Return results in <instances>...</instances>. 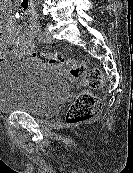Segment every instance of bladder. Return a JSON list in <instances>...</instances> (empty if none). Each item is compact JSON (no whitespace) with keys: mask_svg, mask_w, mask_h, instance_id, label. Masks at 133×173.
Wrapping results in <instances>:
<instances>
[{"mask_svg":"<svg viewBox=\"0 0 133 173\" xmlns=\"http://www.w3.org/2000/svg\"><path fill=\"white\" fill-rule=\"evenodd\" d=\"M69 95V84L57 69L16 57L0 67V113L54 114Z\"/></svg>","mask_w":133,"mask_h":173,"instance_id":"1","label":"bladder"}]
</instances>
